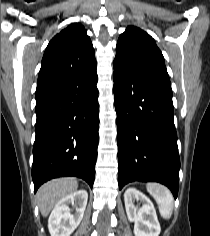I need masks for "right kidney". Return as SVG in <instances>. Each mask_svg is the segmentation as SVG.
<instances>
[{"label":"right kidney","mask_w":210,"mask_h":236,"mask_svg":"<svg viewBox=\"0 0 210 236\" xmlns=\"http://www.w3.org/2000/svg\"><path fill=\"white\" fill-rule=\"evenodd\" d=\"M88 193L86 190H78L62 198L54 207L48 220V228L51 236H70L80 224L86 209ZM75 206L74 213L69 206Z\"/></svg>","instance_id":"1"}]
</instances>
